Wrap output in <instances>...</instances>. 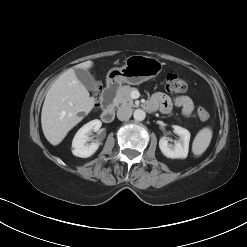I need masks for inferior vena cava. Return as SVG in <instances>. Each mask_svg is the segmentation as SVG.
<instances>
[{
	"label": "inferior vena cava",
	"mask_w": 247,
	"mask_h": 247,
	"mask_svg": "<svg viewBox=\"0 0 247 247\" xmlns=\"http://www.w3.org/2000/svg\"><path fill=\"white\" fill-rule=\"evenodd\" d=\"M132 115V108L127 105H123L117 110V117L119 120L124 121L128 120Z\"/></svg>",
	"instance_id": "inferior-vena-cava-1"
}]
</instances>
